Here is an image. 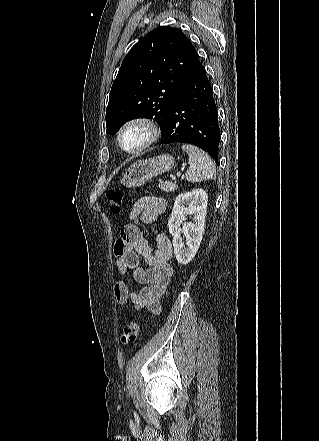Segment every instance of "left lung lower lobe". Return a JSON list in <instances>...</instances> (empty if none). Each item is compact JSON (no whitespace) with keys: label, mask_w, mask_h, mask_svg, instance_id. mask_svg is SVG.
I'll return each mask as SVG.
<instances>
[{"label":"left lung lower lobe","mask_w":319,"mask_h":441,"mask_svg":"<svg viewBox=\"0 0 319 441\" xmlns=\"http://www.w3.org/2000/svg\"><path fill=\"white\" fill-rule=\"evenodd\" d=\"M161 136V144H193L209 153L218 164V111L201 63L182 84Z\"/></svg>","instance_id":"0a47b994"}]
</instances>
